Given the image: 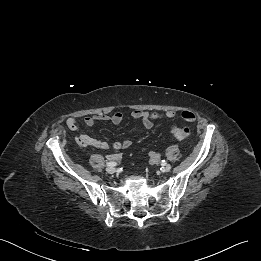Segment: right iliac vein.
Segmentation results:
<instances>
[{"label":"right iliac vein","instance_id":"right-iliac-vein-1","mask_svg":"<svg viewBox=\"0 0 261 261\" xmlns=\"http://www.w3.org/2000/svg\"><path fill=\"white\" fill-rule=\"evenodd\" d=\"M107 173L113 174L115 172V168L113 166H108L106 168Z\"/></svg>","mask_w":261,"mask_h":261}]
</instances>
